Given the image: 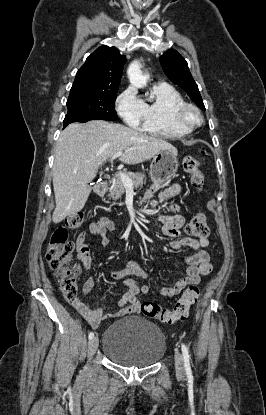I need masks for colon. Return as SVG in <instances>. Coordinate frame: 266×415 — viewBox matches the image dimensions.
Listing matches in <instances>:
<instances>
[{"mask_svg":"<svg viewBox=\"0 0 266 415\" xmlns=\"http://www.w3.org/2000/svg\"><path fill=\"white\" fill-rule=\"evenodd\" d=\"M183 167L190 175L192 186L201 190L204 186V174L200 170L199 158L193 155L186 156ZM83 222V212L69 216L65 220L64 226L58 227L53 232L46 251L48 265L60 277L62 294L69 302H73L79 297L78 276L81 268L72 263L74 245L68 239V229H79ZM185 232L199 239L207 238L209 227L205 216L202 213L195 214L186 225ZM199 295V287L191 286L184 291L172 309L163 308L153 302H145L141 305L140 310L147 317L158 319L165 324H173L184 321L188 317L190 308L195 304Z\"/></svg>","mask_w":266,"mask_h":415,"instance_id":"colon-1","label":"colon"}]
</instances>
